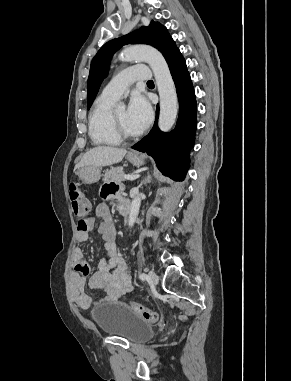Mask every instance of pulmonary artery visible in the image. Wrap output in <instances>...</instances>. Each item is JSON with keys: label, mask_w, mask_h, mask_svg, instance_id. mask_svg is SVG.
<instances>
[{"label": "pulmonary artery", "mask_w": 291, "mask_h": 381, "mask_svg": "<svg viewBox=\"0 0 291 381\" xmlns=\"http://www.w3.org/2000/svg\"><path fill=\"white\" fill-rule=\"evenodd\" d=\"M151 71L147 65H133L116 74L103 88L101 95L104 98L118 100L127 88L135 81L150 80Z\"/></svg>", "instance_id": "1"}]
</instances>
